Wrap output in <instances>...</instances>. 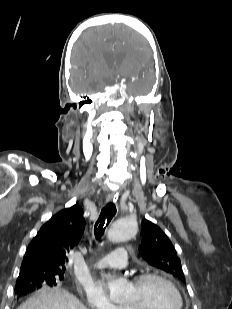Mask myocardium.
<instances>
[{
    "mask_svg": "<svg viewBox=\"0 0 232 309\" xmlns=\"http://www.w3.org/2000/svg\"><path fill=\"white\" fill-rule=\"evenodd\" d=\"M151 279H158L166 283L173 290V292L175 293L178 299V306L176 309H183V306H184L183 295L180 289L178 288V286L167 275L161 272H157V271H146V272H142L140 274L135 275L131 283L135 286H140L146 281L151 280ZM122 308L123 309H140V307H134L129 304H123Z\"/></svg>",
    "mask_w": 232,
    "mask_h": 309,
    "instance_id": "1",
    "label": "myocardium"
}]
</instances>
